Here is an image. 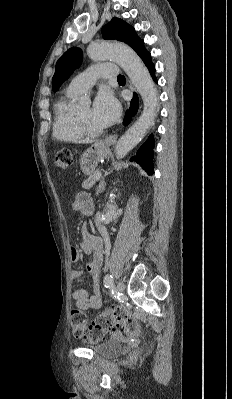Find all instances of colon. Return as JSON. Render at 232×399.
<instances>
[{
  "mask_svg": "<svg viewBox=\"0 0 232 399\" xmlns=\"http://www.w3.org/2000/svg\"><path fill=\"white\" fill-rule=\"evenodd\" d=\"M73 149L61 150L56 153V166L66 165L69 170L73 169ZM110 324H124V330H128V337H137L142 326L137 321L136 313H130V308H115V313H100L98 322H87L85 311L75 308L71 316V338L86 339L91 341H102L101 335H115V328Z\"/></svg>",
  "mask_w": 232,
  "mask_h": 399,
  "instance_id": "obj_1",
  "label": "colon"
}]
</instances>
